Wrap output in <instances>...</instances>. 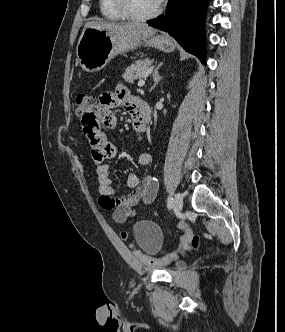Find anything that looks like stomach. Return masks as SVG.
Wrapping results in <instances>:
<instances>
[{
	"label": "stomach",
	"mask_w": 285,
	"mask_h": 332,
	"mask_svg": "<svg viewBox=\"0 0 285 332\" xmlns=\"http://www.w3.org/2000/svg\"><path fill=\"white\" fill-rule=\"evenodd\" d=\"M144 44L164 52L174 50L173 42L164 35L150 37L144 42L111 35L108 31L95 27L84 28L76 47L81 68L88 73L103 69L117 54L135 49Z\"/></svg>",
	"instance_id": "1"
}]
</instances>
